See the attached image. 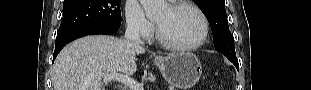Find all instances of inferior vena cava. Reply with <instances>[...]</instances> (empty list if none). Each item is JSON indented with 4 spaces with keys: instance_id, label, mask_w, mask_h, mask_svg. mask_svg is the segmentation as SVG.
I'll return each mask as SVG.
<instances>
[{
    "instance_id": "inferior-vena-cava-1",
    "label": "inferior vena cava",
    "mask_w": 311,
    "mask_h": 90,
    "mask_svg": "<svg viewBox=\"0 0 311 90\" xmlns=\"http://www.w3.org/2000/svg\"><path fill=\"white\" fill-rule=\"evenodd\" d=\"M125 46L128 48L126 50L125 58L129 61V64L131 66H136L138 64L137 61V48H140L141 46V39L139 36V30L135 28L134 26L128 25L125 31Z\"/></svg>"
}]
</instances>
